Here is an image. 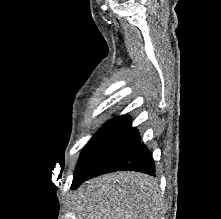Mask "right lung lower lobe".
<instances>
[{
	"instance_id": "right-lung-lower-lobe-1",
	"label": "right lung lower lobe",
	"mask_w": 221,
	"mask_h": 219,
	"mask_svg": "<svg viewBox=\"0 0 221 219\" xmlns=\"http://www.w3.org/2000/svg\"><path fill=\"white\" fill-rule=\"evenodd\" d=\"M129 116H120L102 127L82 151L72 189L101 174L133 170L155 176V163Z\"/></svg>"
}]
</instances>
